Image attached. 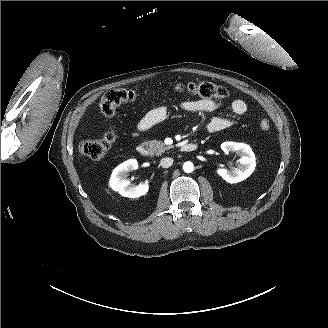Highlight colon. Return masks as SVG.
<instances>
[{"label": "colon", "mask_w": 328, "mask_h": 328, "mask_svg": "<svg viewBox=\"0 0 328 328\" xmlns=\"http://www.w3.org/2000/svg\"><path fill=\"white\" fill-rule=\"evenodd\" d=\"M174 91L197 95L213 101H222L228 97V91L224 87L211 82L180 83L174 87ZM145 95H147L146 92L139 93L130 89H112L106 92L102 97L100 111L105 117L111 118L114 116L119 106L135 102ZM259 125L263 131H268L270 129V123L267 119H262ZM114 140V134L112 132H107L101 138L81 142L79 151L83 156L89 159H101L107 154Z\"/></svg>", "instance_id": "colon-1"}]
</instances>
